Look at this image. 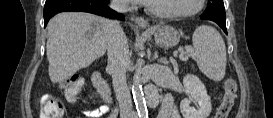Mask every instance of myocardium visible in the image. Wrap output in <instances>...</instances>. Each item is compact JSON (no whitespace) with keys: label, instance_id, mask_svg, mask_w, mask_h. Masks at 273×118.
Here are the masks:
<instances>
[{"label":"myocardium","instance_id":"obj_1","mask_svg":"<svg viewBox=\"0 0 273 118\" xmlns=\"http://www.w3.org/2000/svg\"><path fill=\"white\" fill-rule=\"evenodd\" d=\"M204 4H205V0H197L196 6L192 10L186 11V12H160L155 10L153 6L151 5V3H147L145 5V8L150 14H152L155 17H159L162 19H176V18L193 16L199 13L203 9Z\"/></svg>","mask_w":273,"mask_h":118}]
</instances>
